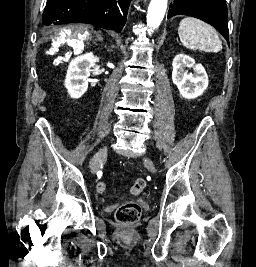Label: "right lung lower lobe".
Here are the masks:
<instances>
[{"mask_svg": "<svg viewBox=\"0 0 256 267\" xmlns=\"http://www.w3.org/2000/svg\"><path fill=\"white\" fill-rule=\"evenodd\" d=\"M130 0H48L42 23H87L121 32Z\"/></svg>", "mask_w": 256, "mask_h": 267, "instance_id": "98d812e1", "label": "right lung lower lobe"}]
</instances>
